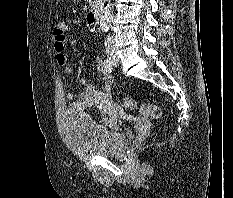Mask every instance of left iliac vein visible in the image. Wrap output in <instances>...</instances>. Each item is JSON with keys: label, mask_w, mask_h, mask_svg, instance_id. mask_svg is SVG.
Wrapping results in <instances>:
<instances>
[{"label": "left iliac vein", "mask_w": 233, "mask_h": 198, "mask_svg": "<svg viewBox=\"0 0 233 198\" xmlns=\"http://www.w3.org/2000/svg\"><path fill=\"white\" fill-rule=\"evenodd\" d=\"M118 63H119L118 57L116 55H114V57H113V65L117 66Z\"/></svg>", "instance_id": "1"}]
</instances>
